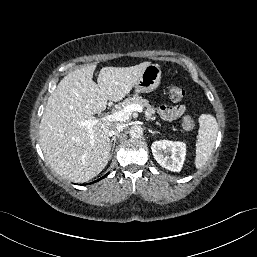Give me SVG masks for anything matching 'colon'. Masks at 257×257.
<instances>
[{"label":"colon","mask_w":257,"mask_h":257,"mask_svg":"<svg viewBox=\"0 0 257 257\" xmlns=\"http://www.w3.org/2000/svg\"><path fill=\"white\" fill-rule=\"evenodd\" d=\"M185 95L184 89L179 85H170L167 87V96L173 102H179L183 99ZM183 126L187 129H191L194 126L193 120L186 116L183 118Z\"/></svg>","instance_id":"colon-1"}]
</instances>
